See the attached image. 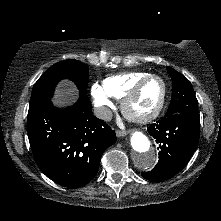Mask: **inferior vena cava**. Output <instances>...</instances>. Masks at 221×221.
I'll return each instance as SVG.
<instances>
[{"label":"inferior vena cava","mask_w":221,"mask_h":221,"mask_svg":"<svg viewBox=\"0 0 221 221\" xmlns=\"http://www.w3.org/2000/svg\"><path fill=\"white\" fill-rule=\"evenodd\" d=\"M94 115L105 121H110L112 119V111L106 106H100L95 108Z\"/></svg>","instance_id":"inferior-vena-cava-1"}]
</instances>
